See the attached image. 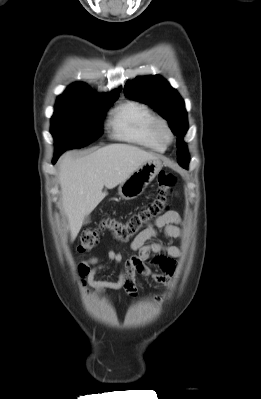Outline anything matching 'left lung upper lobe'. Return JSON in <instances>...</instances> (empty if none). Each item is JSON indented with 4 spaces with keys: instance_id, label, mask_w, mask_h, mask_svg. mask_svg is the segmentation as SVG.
Here are the masks:
<instances>
[{
    "instance_id": "obj_1",
    "label": "left lung upper lobe",
    "mask_w": 261,
    "mask_h": 399,
    "mask_svg": "<svg viewBox=\"0 0 261 399\" xmlns=\"http://www.w3.org/2000/svg\"><path fill=\"white\" fill-rule=\"evenodd\" d=\"M124 92L126 96L155 108L169 122L172 132L177 135V161L181 166L188 165L189 154L183 141L188 130L187 113L178 92L158 75L136 77L127 82Z\"/></svg>"
}]
</instances>
